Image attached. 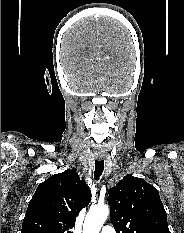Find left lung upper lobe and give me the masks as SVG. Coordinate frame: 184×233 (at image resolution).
Here are the masks:
<instances>
[{
  "instance_id": "left-lung-upper-lobe-1",
  "label": "left lung upper lobe",
  "mask_w": 184,
  "mask_h": 233,
  "mask_svg": "<svg viewBox=\"0 0 184 233\" xmlns=\"http://www.w3.org/2000/svg\"><path fill=\"white\" fill-rule=\"evenodd\" d=\"M108 193L117 233H170L159 192L145 180L126 175Z\"/></svg>"
}]
</instances>
